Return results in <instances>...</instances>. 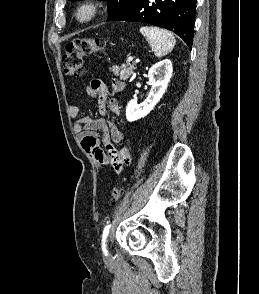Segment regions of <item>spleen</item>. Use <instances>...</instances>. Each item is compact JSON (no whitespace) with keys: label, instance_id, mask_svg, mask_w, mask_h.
<instances>
[{"label":"spleen","instance_id":"spleen-1","mask_svg":"<svg viewBox=\"0 0 259 294\" xmlns=\"http://www.w3.org/2000/svg\"><path fill=\"white\" fill-rule=\"evenodd\" d=\"M140 32L148 41L156 57L167 55L176 44L173 34L165 29L143 26Z\"/></svg>","mask_w":259,"mask_h":294}]
</instances>
